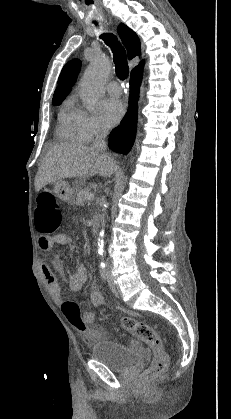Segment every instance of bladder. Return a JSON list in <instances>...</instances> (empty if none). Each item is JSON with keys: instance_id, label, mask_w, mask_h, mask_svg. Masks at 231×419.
<instances>
[{"instance_id": "bladder-1", "label": "bladder", "mask_w": 231, "mask_h": 419, "mask_svg": "<svg viewBox=\"0 0 231 419\" xmlns=\"http://www.w3.org/2000/svg\"><path fill=\"white\" fill-rule=\"evenodd\" d=\"M91 358L104 363L110 370L129 373L144 364L143 354L122 344L106 339L95 342L91 348Z\"/></svg>"}]
</instances>
